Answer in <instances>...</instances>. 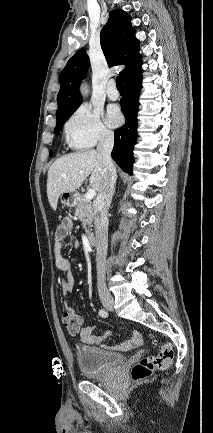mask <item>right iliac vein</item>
Returning a JSON list of instances; mask_svg holds the SVG:
<instances>
[{"label":"right iliac vein","mask_w":213,"mask_h":433,"mask_svg":"<svg viewBox=\"0 0 213 433\" xmlns=\"http://www.w3.org/2000/svg\"><path fill=\"white\" fill-rule=\"evenodd\" d=\"M101 302L103 306L109 310H113L114 299L109 293H102L100 295Z\"/></svg>","instance_id":"63e3f726"}]
</instances>
